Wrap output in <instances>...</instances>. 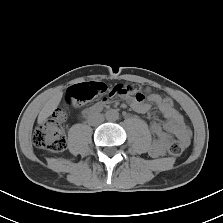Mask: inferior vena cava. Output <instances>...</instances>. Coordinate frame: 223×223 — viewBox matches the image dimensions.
Masks as SVG:
<instances>
[{
  "label": "inferior vena cava",
  "mask_w": 223,
  "mask_h": 223,
  "mask_svg": "<svg viewBox=\"0 0 223 223\" xmlns=\"http://www.w3.org/2000/svg\"><path fill=\"white\" fill-rule=\"evenodd\" d=\"M103 121H104V117H103V115L100 114V113H96V114H94V115L92 116V118H91V122H92V124H99V123H101V122H103Z\"/></svg>",
  "instance_id": "1"
}]
</instances>
